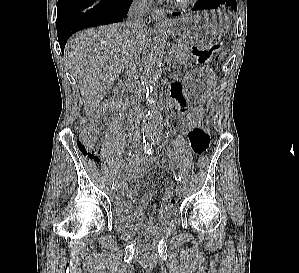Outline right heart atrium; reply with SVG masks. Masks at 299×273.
<instances>
[{
	"label": "right heart atrium",
	"mask_w": 299,
	"mask_h": 273,
	"mask_svg": "<svg viewBox=\"0 0 299 273\" xmlns=\"http://www.w3.org/2000/svg\"><path fill=\"white\" fill-rule=\"evenodd\" d=\"M141 3H146L148 0H138Z\"/></svg>",
	"instance_id": "1"
}]
</instances>
